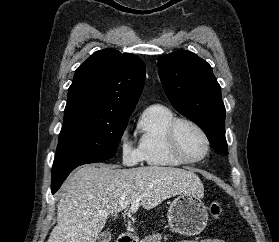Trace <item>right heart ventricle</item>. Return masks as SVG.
<instances>
[{
	"mask_svg": "<svg viewBox=\"0 0 279 242\" xmlns=\"http://www.w3.org/2000/svg\"><path fill=\"white\" fill-rule=\"evenodd\" d=\"M176 115L162 105H151L142 113L139 123L138 147L142 159L150 166L176 167L184 164L171 152L167 130Z\"/></svg>",
	"mask_w": 279,
	"mask_h": 242,
	"instance_id": "e07e8e85",
	"label": "right heart ventricle"
}]
</instances>
